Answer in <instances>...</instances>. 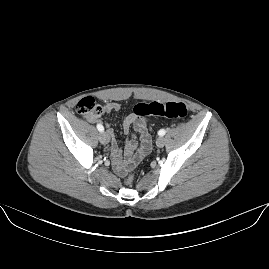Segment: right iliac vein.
<instances>
[{"mask_svg":"<svg viewBox=\"0 0 269 269\" xmlns=\"http://www.w3.org/2000/svg\"><path fill=\"white\" fill-rule=\"evenodd\" d=\"M99 140L102 144H108L110 141V136L107 132H101L99 134Z\"/></svg>","mask_w":269,"mask_h":269,"instance_id":"1","label":"right iliac vein"}]
</instances>
